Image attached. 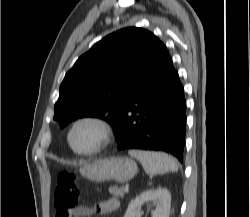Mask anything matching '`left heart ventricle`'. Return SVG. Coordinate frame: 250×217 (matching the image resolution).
<instances>
[{"label": "left heart ventricle", "mask_w": 250, "mask_h": 217, "mask_svg": "<svg viewBox=\"0 0 250 217\" xmlns=\"http://www.w3.org/2000/svg\"><path fill=\"white\" fill-rule=\"evenodd\" d=\"M98 141V131L91 124L78 126L72 134V144L78 150L93 148Z\"/></svg>", "instance_id": "left-heart-ventricle-1"}]
</instances>
